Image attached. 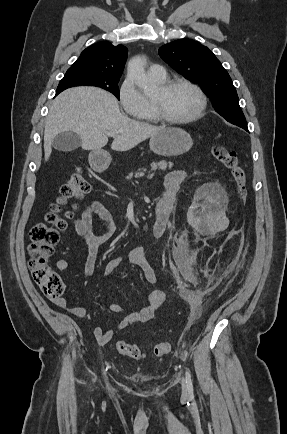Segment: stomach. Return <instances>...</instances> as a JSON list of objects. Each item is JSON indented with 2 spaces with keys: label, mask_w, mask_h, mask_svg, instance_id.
I'll list each match as a JSON object with an SVG mask.
<instances>
[{
  "label": "stomach",
  "mask_w": 287,
  "mask_h": 434,
  "mask_svg": "<svg viewBox=\"0 0 287 434\" xmlns=\"http://www.w3.org/2000/svg\"><path fill=\"white\" fill-rule=\"evenodd\" d=\"M193 145L189 133L183 129L166 128L152 136L149 141L151 151L160 156H177L188 152ZM90 163L97 168H106L111 162V156L102 149L92 150L89 155Z\"/></svg>",
  "instance_id": "obj_1"
}]
</instances>
